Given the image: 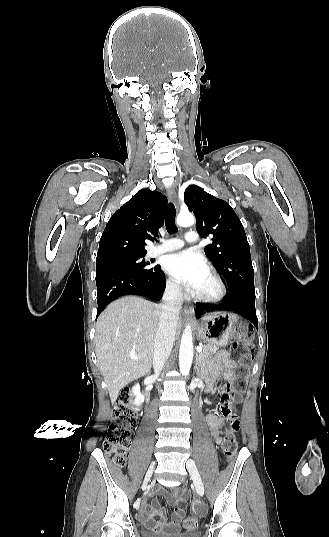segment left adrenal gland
I'll list each match as a JSON object with an SVG mask.
<instances>
[{"label":"left adrenal gland","instance_id":"obj_1","mask_svg":"<svg viewBox=\"0 0 329 537\" xmlns=\"http://www.w3.org/2000/svg\"><path fill=\"white\" fill-rule=\"evenodd\" d=\"M196 361H197V362H196V366H195V368L197 367V363H198V355L196 356Z\"/></svg>","mask_w":329,"mask_h":537}]
</instances>
